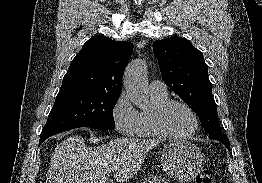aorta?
<instances>
[{
    "mask_svg": "<svg viewBox=\"0 0 262 183\" xmlns=\"http://www.w3.org/2000/svg\"><path fill=\"white\" fill-rule=\"evenodd\" d=\"M123 86L131 102L140 109L149 105L146 65L141 60L131 62L124 73Z\"/></svg>",
    "mask_w": 262,
    "mask_h": 183,
    "instance_id": "aorta-1",
    "label": "aorta"
}]
</instances>
